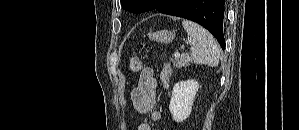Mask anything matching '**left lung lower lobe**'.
<instances>
[{"mask_svg": "<svg viewBox=\"0 0 299 130\" xmlns=\"http://www.w3.org/2000/svg\"><path fill=\"white\" fill-rule=\"evenodd\" d=\"M154 8L163 14L197 22L213 34L224 50V0H158L146 11Z\"/></svg>", "mask_w": 299, "mask_h": 130, "instance_id": "1", "label": "left lung lower lobe"}]
</instances>
